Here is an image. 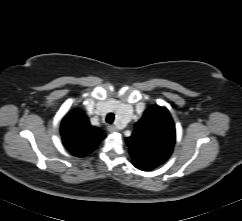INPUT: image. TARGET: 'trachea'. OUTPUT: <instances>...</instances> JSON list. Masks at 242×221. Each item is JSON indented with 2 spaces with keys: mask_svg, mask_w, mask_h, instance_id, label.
<instances>
[{
  "mask_svg": "<svg viewBox=\"0 0 242 221\" xmlns=\"http://www.w3.org/2000/svg\"><path fill=\"white\" fill-rule=\"evenodd\" d=\"M114 118H115L114 114L113 113H109L106 116V122L109 123V124H112L113 121H114Z\"/></svg>",
  "mask_w": 242,
  "mask_h": 221,
  "instance_id": "3493384b",
  "label": "trachea"
}]
</instances>
